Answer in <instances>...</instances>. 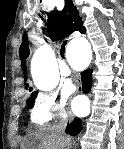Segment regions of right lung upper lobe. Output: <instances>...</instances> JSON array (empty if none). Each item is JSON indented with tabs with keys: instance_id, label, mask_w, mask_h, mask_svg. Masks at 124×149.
<instances>
[{
	"instance_id": "cb5924a9",
	"label": "right lung upper lobe",
	"mask_w": 124,
	"mask_h": 149,
	"mask_svg": "<svg viewBox=\"0 0 124 149\" xmlns=\"http://www.w3.org/2000/svg\"><path fill=\"white\" fill-rule=\"evenodd\" d=\"M47 31L49 37L53 40H62L74 31H79L82 34L85 33V27L83 26L78 10L71 0H65L64 9L61 12L53 11L49 14ZM29 54L28 38L25 33L19 50V56L23 63L24 71L26 69L24 60L29 56ZM25 79H27L26 76ZM27 87L28 84H26V88Z\"/></svg>"
}]
</instances>
